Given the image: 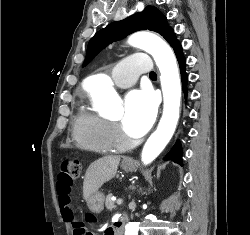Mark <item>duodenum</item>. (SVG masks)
I'll use <instances>...</instances> for the list:
<instances>
[{
  "mask_svg": "<svg viewBox=\"0 0 250 235\" xmlns=\"http://www.w3.org/2000/svg\"><path fill=\"white\" fill-rule=\"evenodd\" d=\"M126 222V217L121 216V218L112 225L109 231L110 235H123L124 224Z\"/></svg>",
  "mask_w": 250,
  "mask_h": 235,
  "instance_id": "duodenum-1",
  "label": "duodenum"
}]
</instances>
